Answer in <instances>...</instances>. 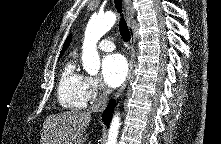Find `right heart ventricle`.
I'll return each instance as SVG.
<instances>
[{
	"mask_svg": "<svg viewBox=\"0 0 221 144\" xmlns=\"http://www.w3.org/2000/svg\"><path fill=\"white\" fill-rule=\"evenodd\" d=\"M85 76L77 69L75 60L68 61L59 78L57 98L66 109L79 110L86 107L84 93Z\"/></svg>",
	"mask_w": 221,
	"mask_h": 144,
	"instance_id": "e07e8e85",
	"label": "right heart ventricle"
}]
</instances>
